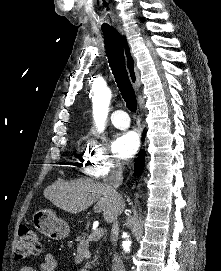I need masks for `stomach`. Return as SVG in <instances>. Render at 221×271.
Returning a JSON list of instances; mask_svg holds the SVG:
<instances>
[{
    "label": "stomach",
    "instance_id": "stomach-1",
    "mask_svg": "<svg viewBox=\"0 0 221 271\" xmlns=\"http://www.w3.org/2000/svg\"><path fill=\"white\" fill-rule=\"evenodd\" d=\"M34 227L44 233L50 239H60L66 237L70 231L69 225L65 221H60L51 209H39L32 215Z\"/></svg>",
    "mask_w": 221,
    "mask_h": 271
}]
</instances>
